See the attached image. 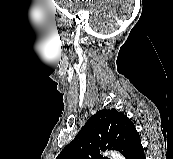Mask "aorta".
<instances>
[{"label":"aorta","mask_w":173,"mask_h":159,"mask_svg":"<svg viewBox=\"0 0 173 159\" xmlns=\"http://www.w3.org/2000/svg\"><path fill=\"white\" fill-rule=\"evenodd\" d=\"M109 154L111 156V159H125L123 155L116 151H111Z\"/></svg>","instance_id":"762f6f07"}]
</instances>
